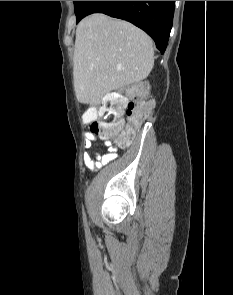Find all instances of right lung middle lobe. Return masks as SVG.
<instances>
[{"instance_id":"right-lung-middle-lobe-1","label":"right lung middle lobe","mask_w":233,"mask_h":295,"mask_svg":"<svg viewBox=\"0 0 233 295\" xmlns=\"http://www.w3.org/2000/svg\"><path fill=\"white\" fill-rule=\"evenodd\" d=\"M87 2L88 1H74V11L77 17V22L80 21Z\"/></svg>"}]
</instances>
